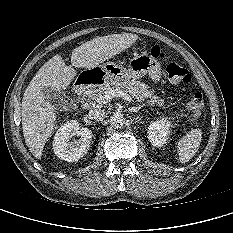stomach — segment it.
I'll use <instances>...</instances> for the list:
<instances>
[{"label":"stomach","instance_id":"stomach-1","mask_svg":"<svg viewBox=\"0 0 233 233\" xmlns=\"http://www.w3.org/2000/svg\"><path fill=\"white\" fill-rule=\"evenodd\" d=\"M83 76L95 78L99 83L109 81H127L140 79L145 75L153 82L161 79V65L158 60L148 54L135 55L124 67L114 62H106L100 66L84 70Z\"/></svg>","mask_w":233,"mask_h":233}]
</instances>
